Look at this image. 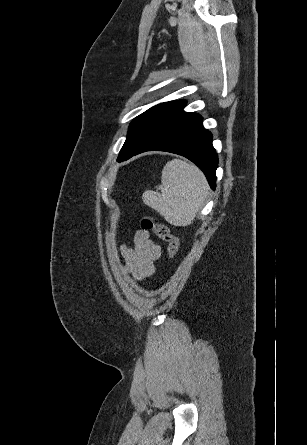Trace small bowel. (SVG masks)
Wrapping results in <instances>:
<instances>
[{"instance_id":"1","label":"small bowel","mask_w":307,"mask_h":445,"mask_svg":"<svg viewBox=\"0 0 307 445\" xmlns=\"http://www.w3.org/2000/svg\"><path fill=\"white\" fill-rule=\"evenodd\" d=\"M122 255L127 272L137 280H143L155 272V262L161 257V248L148 231L138 230L133 246L123 245Z\"/></svg>"}]
</instances>
